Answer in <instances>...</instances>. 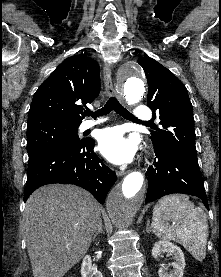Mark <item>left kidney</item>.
Returning <instances> with one entry per match:
<instances>
[{
  "label": "left kidney",
  "mask_w": 221,
  "mask_h": 277,
  "mask_svg": "<svg viewBox=\"0 0 221 277\" xmlns=\"http://www.w3.org/2000/svg\"><path fill=\"white\" fill-rule=\"evenodd\" d=\"M164 252L172 254L175 261L171 263L173 270L169 273L167 272L168 268L162 264L158 271L159 277H182L185 267V258L182 250L169 241L160 240L156 242L152 248V256L159 260L160 255Z\"/></svg>",
  "instance_id": "5707ae66"
}]
</instances>
